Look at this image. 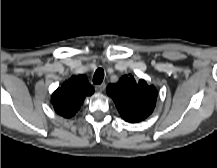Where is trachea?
Returning a JSON list of instances; mask_svg holds the SVG:
<instances>
[{
	"mask_svg": "<svg viewBox=\"0 0 217 168\" xmlns=\"http://www.w3.org/2000/svg\"><path fill=\"white\" fill-rule=\"evenodd\" d=\"M104 79V70L102 68H98L93 76L94 84H101Z\"/></svg>",
	"mask_w": 217,
	"mask_h": 168,
	"instance_id": "obj_1",
	"label": "trachea"
}]
</instances>
